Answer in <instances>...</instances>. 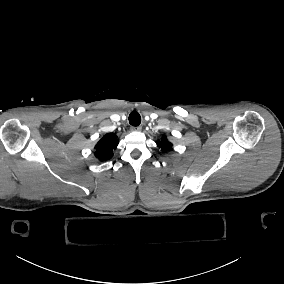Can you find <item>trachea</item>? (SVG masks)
<instances>
[{"label":"trachea","instance_id":"3493384b","mask_svg":"<svg viewBox=\"0 0 284 284\" xmlns=\"http://www.w3.org/2000/svg\"><path fill=\"white\" fill-rule=\"evenodd\" d=\"M129 123L132 126H139L141 123V116L137 111H132L129 115Z\"/></svg>","mask_w":284,"mask_h":284}]
</instances>
